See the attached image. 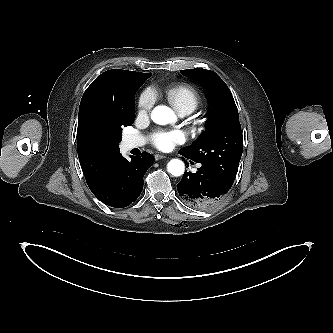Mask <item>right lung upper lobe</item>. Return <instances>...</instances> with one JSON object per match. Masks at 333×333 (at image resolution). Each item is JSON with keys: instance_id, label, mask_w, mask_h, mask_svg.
Returning a JSON list of instances; mask_svg holds the SVG:
<instances>
[{"instance_id": "right-lung-upper-lobe-1", "label": "right lung upper lobe", "mask_w": 333, "mask_h": 333, "mask_svg": "<svg viewBox=\"0 0 333 333\" xmlns=\"http://www.w3.org/2000/svg\"><path fill=\"white\" fill-rule=\"evenodd\" d=\"M148 73L112 69L97 77L81 99L78 115V158L86 182L93 192L106 179L120 155L119 147L106 143L111 109L127 108L131 94Z\"/></svg>"}]
</instances>
